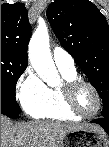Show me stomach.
<instances>
[{
  "label": "stomach",
  "instance_id": "0dacf381",
  "mask_svg": "<svg viewBox=\"0 0 109 147\" xmlns=\"http://www.w3.org/2000/svg\"><path fill=\"white\" fill-rule=\"evenodd\" d=\"M109 139L105 132L88 129L70 131L63 138L60 147H108Z\"/></svg>",
  "mask_w": 109,
  "mask_h": 147
}]
</instances>
